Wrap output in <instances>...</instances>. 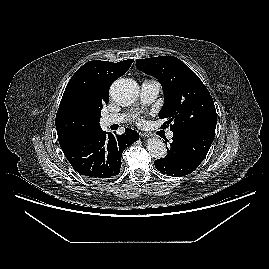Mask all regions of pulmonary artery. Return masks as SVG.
Listing matches in <instances>:
<instances>
[{
	"instance_id": "obj_1",
	"label": "pulmonary artery",
	"mask_w": 269,
	"mask_h": 269,
	"mask_svg": "<svg viewBox=\"0 0 269 269\" xmlns=\"http://www.w3.org/2000/svg\"><path fill=\"white\" fill-rule=\"evenodd\" d=\"M160 92V84L156 80H144L141 85L140 99L142 104L148 105L154 102ZM127 120L124 114H110L102 118L104 126H110L113 124H120ZM168 138L173 137V132L168 133Z\"/></svg>"
}]
</instances>
